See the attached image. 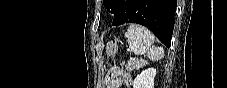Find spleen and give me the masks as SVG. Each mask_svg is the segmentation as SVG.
Returning a JSON list of instances; mask_svg holds the SVG:
<instances>
[{"label": "spleen", "mask_w": 227, "mask_h": 88, "mask_svg": "<svg viewBox=\"0 0 227 88\" xmlns=\"http://www.w3.org/2000/svg\"><path fill=\"white\" fill-rule=\"evenodd\" d=\"M129 49L136 55H144L152 61H158L164 56L162 47H155V37L148 29L138 24H131L125 32Z\"/></svg>", "instance_id": "spleen-1"}]
</instances>
